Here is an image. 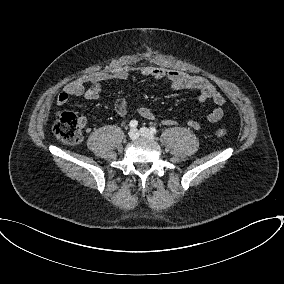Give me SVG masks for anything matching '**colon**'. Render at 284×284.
<instances>
[{
	"mask_svg": "<svg viewBox=\"0 0 284 284\" xmlns=\"http://www.w3.org/2000/svg\"><path fill=\"white\" fill-rule=\"evenodd\" d=\"M81 118L71 112H60L57 114L53 124L54 135L62 142L70 145L79 144L82 140ZM226 130L219 128L217 136L224 137Z\"/></svg>",
	"mask_w": 284,
	"mask_h": 284,
	"instance_id": "obj_1",
	"label": "colon"
}]
</instances>
